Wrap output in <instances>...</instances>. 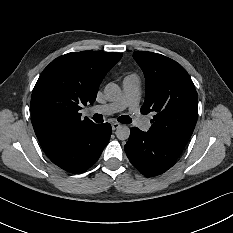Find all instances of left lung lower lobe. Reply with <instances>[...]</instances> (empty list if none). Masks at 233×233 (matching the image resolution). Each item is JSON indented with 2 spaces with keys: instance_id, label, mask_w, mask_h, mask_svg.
<instances>
[{
  "instance_id": "left-lung-lower-lobe-1",
  "label": "left lung lower lobe",
  "mask_w": 233,
  "mask_h": 233,
  "mask_svg": "<svg viewBox=\"0 0 233 233\" xmlns=\"http://www.w3.org/2000/svg\"><path fill=\"white\" fill-rule=\"evenodd\" d=\"M184 145L150 136L136 127L131 128L125 152L135 168L152 177L170 169L184 149Z\"/></svg>"
}]
</instances>
